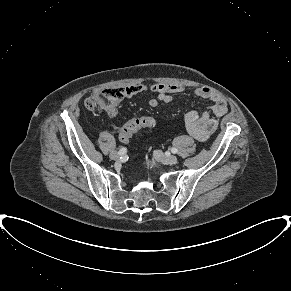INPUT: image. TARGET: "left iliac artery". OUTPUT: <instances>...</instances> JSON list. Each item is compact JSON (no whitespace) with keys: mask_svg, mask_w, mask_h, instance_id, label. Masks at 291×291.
I'll return each mask as SVG.
<instances>
[{"mask_svg":"<svg viewBox=\"0 0 291 291\" xmlns=\"http://www.w3.org/2000/svg\"><path fill=\"white\" fill-rule=\"evenodd\" d=\"M171 152L175 154V153L178 152V150H177L176 148L173 147V148H171Z\"/></svg>","mask_w":291,"mask_h":291,"instance_id":"44dca946","label":"left iliac artery"}]
</instances>
